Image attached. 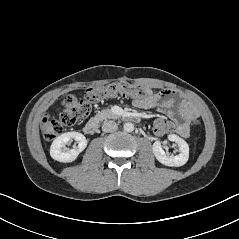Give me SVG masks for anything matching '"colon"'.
Instances as JSON below:
<instances>
[{
  "label": "colon",
  "instance_id": "5ec220e1",
  "mask_svg": "<svg viewBox=\"0 0 239 239\" xmlns=\"http://www.w3.org/2000/svg\"><path fill=\"white\" fill-rule=\"evenodd\" d=\"M133 98H150L152 93L134 82H115L102 87L90 88L84 98L69 95L63 101V106L57 118L44 115L42 118V132L47 140L54 139L67 127L73 126L90 113L91 105L107 98L116 96ZM153 133L158 137H165L170 132L169 121L166 118H156L151 126Z\"/></svg>",
  "mask_w": 239,
  "mask_h": 239
}]
</instances>
